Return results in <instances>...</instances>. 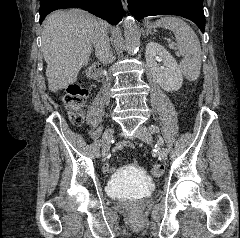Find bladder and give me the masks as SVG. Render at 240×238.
<instances>
[{
  "label": "bladder",
  "mask_w": 240,
  "mask_h": 238,
  "mask_svg": "<svg viewBox=\"0 0 240 238\" xmlns=\"http://www.w3.org/2000/svg\"><path fill=\"white\" fill-rule=\"evenodd\" d=\"M154 185L147 174L136 166L123 167L109 182L108 192L112 198H143L150 195Z\"/></svg>",
  "instance_id": "bladder-1"
}]
</instances>
